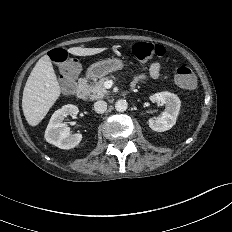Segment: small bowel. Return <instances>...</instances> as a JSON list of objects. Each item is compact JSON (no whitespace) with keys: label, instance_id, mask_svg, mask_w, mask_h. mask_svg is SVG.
Here are the masks:
<instances>
[{"label":"small bowel","instance_id":"obj_1","mask_svg":"<svg viewBox=\"0 0 232 232\" xmlns=\"http://www.w3.org/2000/svg\"><path fill=\"white\" fill-rule=\"evenodd\" d=\"M160 70L161 64L157 61L152 62L149 66L148 72L137 75L134 78L132 85L134 86L136 83L146 79L148 76L153 79H158L160 77Z\"/></svg>","mask_w":232,"mask_h":232}]
</instances>
